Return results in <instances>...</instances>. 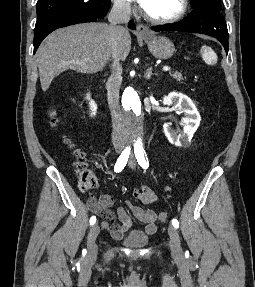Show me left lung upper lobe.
<instances>
[{
  "mask_svg": "<svg viewBox=\"0 0 255 287\" xmlns=\"http://www.w3.org/2000/svg\"><path fill=\"white\" fill-rule=\"evenodd\" d=\"M191 6L193 9L199 7H208L215 9L217 11L221 10V2L220 0H190Z\"/></svg>",
  "mask_w": 255,
  "mask_h": 287,
  "instance_id": "1",
  "label": "left lung upper lobe"
}]
</instances>
